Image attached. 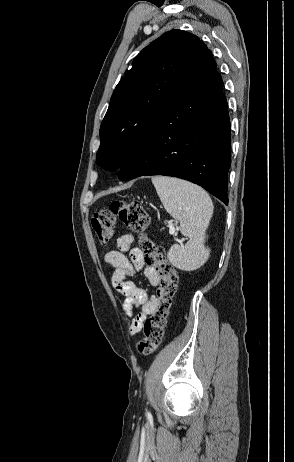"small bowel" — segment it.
Wrapping results in <instances>:
<instances>
[{
	"instance_id": "obj_1",
	"label": "small bowel",
	"mask_w": 294,
	"mask_h": 462,
	"mask_svg": "<svg viewBox=\"0 0 294 462\" xmlns=\"http://www.w3.org/2000/svg\"><path fill=\"white\" fill-rule=\"evenodd\" d=\"M134 237L131 234H123L117 240V250L109 251L105 254L104 260L114 268L112 283L114 288L124 297L123 309L125 313L132 317L133 310L139 309V314L132 318L130 334L138 333L146 318L152 314L156 304V297L147 290L140 288L133 281L129 280L144 269V274L149 283L157 287L158 278L154 269L145 266L142 251L132 248ZM129 251V256L126 252Z\"/></svg>"
}]
</instances>
